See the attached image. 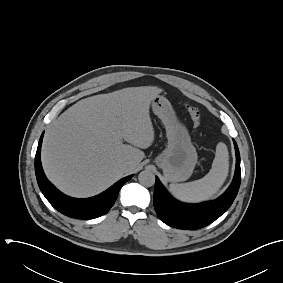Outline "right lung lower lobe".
<instances>
[{"label":"right lung lower lobe","mask_w":283,"mask_h":283,"mask_svg":"<svg viewBox=\"0 0 283 283\" xmlns=\"http://www.w3.org/2000/svg\"><path fill=\"white\" fill-rule=\"evenodd\" d=\"M44 133L39 140L35 156V173L39 188L50 204L66 216L79 219H92L104 215L115 203L119 190L133 175L125 177L103 193L85 199L66 196L56 189L46 178L40 159L41 144Z\"/></svg>","instance_id":"right-lung-lower-lobe-1"}]
</instances>
